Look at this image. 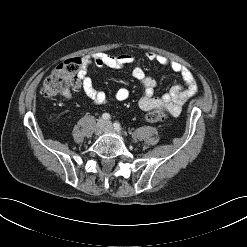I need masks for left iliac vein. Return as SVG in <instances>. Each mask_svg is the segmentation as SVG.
Instances as JSON below:
<instances>
[{
	"label": "left iliac vein",
	"instance_id": "4c4485c4",
	"mask_svg": "<svg viewBox=\"0 0 247 247\" xmlns=\"http://www.w3.org/2000/svg\"><path fill=\"white\" fill-rule=\"evenodd\" d=\"M105 132H109V133H113L114 129L112 127V123L111 122H106V128H105Z\"/></svg>",
	"mask_w": 247,
	"mask_h": 247
}]
</instances>
